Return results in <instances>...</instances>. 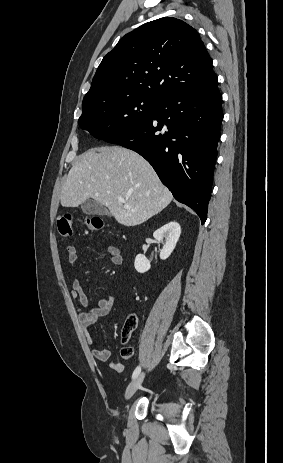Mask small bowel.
<instances>
[{"mask_svg": "<svg viewBox=\"0 0 283 463\" xmlns=\"http://www.w3.org/2000/svg\"><path fill=\"white\" fill-rule=\"evenodd\" d=\"M107 251L113 265L118 266L122 264L123 258L118 247L109 245L107 247ZM67 254L69 263L74 264L78 261V251L73 245L67 246ZM71 297L81 308L85 309V311L80 315V320L85 331L86 340L88 344L93 347L92 351L95 359L101 362L108 361L111 355L110 350L96 343L90 328L99 318L107 315L112 310L114 306V299L111 297L103 298L99 301L96 307H91L90 302L84 294L82 286L77 279H74L71 282ZM109 366L117 373H121L124 370V366L120 362H110Z\"/></svg>", "mask_w": 283, "mask_h": 463, "instance_id": "small-bowel-1", "label": "small bowel"}]
</instances>
